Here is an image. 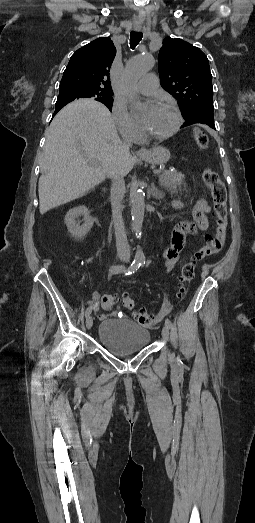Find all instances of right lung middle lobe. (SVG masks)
Masks as SVG:
<instances>
[{
  "label": "right lung middle lobe",
  "mask_w": 255,
  "mask_h": 523,
  "mask_svg": "<svg viewBox=\"0 0 255 523\" xmlns=\"http://www.w3.org/2000/svg\"><path fill=\"white\" fill-rule=\"evenodd\" d=\"M90 97H94L96 101H99V102L105 104L108 108H109V106L112 107V104H113L112 94L87 93V92H81V91H75V90L60 91L57 102L69 103V102L73 101L74 99L90 98Z\"/></svg>",
  "instance_id": "right-lung-middle-lobe-1"
}]
</instances>
